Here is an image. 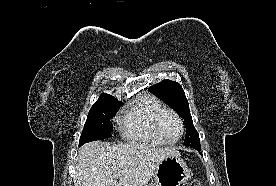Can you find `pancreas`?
<instances>
[{
	"instance_id": "1",
	"label": "pancreas",
	"mask_w": 276,
	"mask_h": 186,
	"mask_svg": "<svg viewBox=\"0 0 276 186\" xmlns=\"http://www.w3.org/2000/svg\"><path fill=\"white\" fill-rule=\"evenodd\" d=\"M146 186H154V184H152V185H146Z\"/></svg>"
}]
</instances>
